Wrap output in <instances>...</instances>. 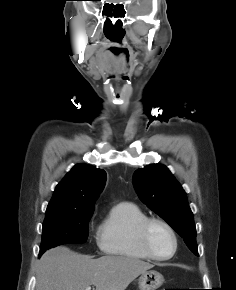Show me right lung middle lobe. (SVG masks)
<instances>
[{
  "label": "right lung middle lobe",
  "instance_id": "dd1d6c3e",
  "mask_svg": "<svg viewBox=\"0 0 236 290\" xmlns=\"http://www.w3.org/2000/svg\"><path fill=\"white\" fill-rule=\"evenodd\" d=\"M93 211L46 213L39 256L47 249L61 244L84 243L88 236V222Z\"/></svg>",
  "mask_w": 236,
  "mask_h": 290
}]
</instances>
